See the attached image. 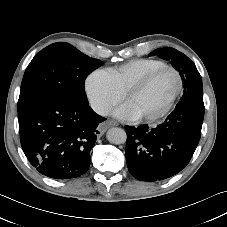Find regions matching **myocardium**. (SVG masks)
Here are the masks:
<instances>
[{"label": "myocardium", "mask_w": 227, "mask_h": 227, "mask_svg": "<svg viewBox=\"0 0 227 227\" xmlns=\"http://www.w3.org/2000/svg\"><path fill=\"white\" fill-rule=\"evenodd\" d=\"M167 70L173 71L177 76L178 86H177L175 93L173 94V96L171 97V99L169 100L167 105L164 107V109L162 111H160L158 114H156L154 116H150V117H137V118L134 119V121L147 122V123L157 122L158 120L165 117L170 112L172 107L174 106L176 100L178 99V97L180 96V94L183 91L184 83H183V76H182L181 72L177 68H175L171 65H165V66H163L159 69L152 71L151 73H149L145 77H143L141 80H139L137 83H135L133 86H131L129 89H127L123 94V102L125 104L126 100L129 97H131L134 94L143 90L147 85L150 84V82L155 77H157L163 71H167Z\"/></svg>", "instance_id": "obj_1"}]
</instances>
